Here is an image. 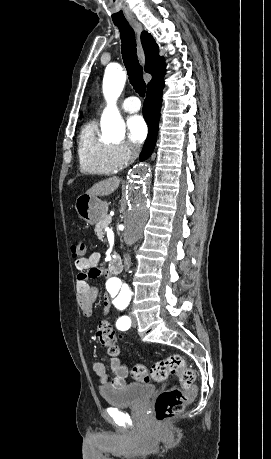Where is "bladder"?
I'll use <instances>...</instances> for the list:
<instances>
[{"mask_svg": "<svg viewBox=\"0 0 271 459\" xmlns=\"http://www.w3.org/2000/svg\"><path fill=\"white\" fill-rule=\"evenodd\" d=\"M155 391L152 383H130L122 389L102 390L105 403L113 406L141 405Z\"/></svg>", "mask_w": 271, "mask_h": 459, "instance_id": "31cf9c89", "label": "bladder"}]
</instances>
